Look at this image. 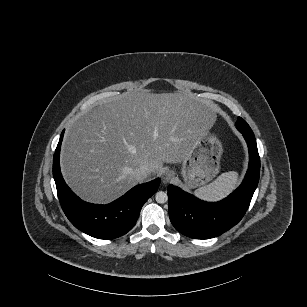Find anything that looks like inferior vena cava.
<instances>
[{"label": "inferior vena cava", "mask_w": 307, "mask_h": 307, "mask_svg": "<svg viewBox=\"0 0 307 307\" xmlns=\"http://www.w3.org/2000/svg\"><path fill=\"white\" fill-rule=\"evenodd\" d=\"M148 174H149V168L146 165H142L133 171V175L138 182H141L144 179H146Z\"/></svg>", "instance_id": "obj_1"}]
</instances>
